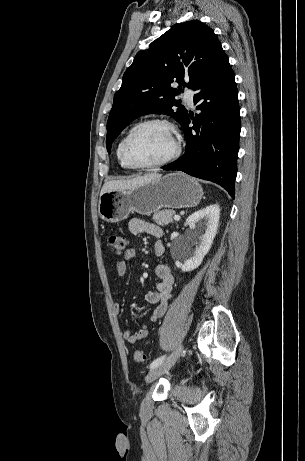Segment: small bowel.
Returning <instances> with one entry per match:
<instances>
[{
	"instance_id": "c3829d8e",
	"label": "small bowel",
	"mask_w": 305,
	"mask_h": 461,
	"mask_svg": "<svg viewBox=\"0 0 305 461\" xmlns=\"http://www.w3.org/2000/svg\"><path fill=\"white\" fill-rule=\"evenodd\" d=\"M130 231L135 234L147 233L156 238H160L163 235L162 229L153 223L144 221L142 219H132L129 224ZM153 251L156 256H162L164 253V246L161 241H156L153 245ZM137 257V251L134 248H128L124 253V259L116 262V270L119 278H122L127 272V260H133ZM156 275L159 279L155 289L149 291L146 295V299L150 304L155 305V309L151 315V322L157 321L161 318L168 310L171 299L174 296V276L172 275L170 268L165 264L157 265L155 269ZM113 309L119 314L121 306L117 301L119 297V291L116 289L113 291ZM149 334V328L147 325H143L136 332L125 330L123 332V339L129 344H135L138 341L144 339Z\"/></svg>"
}]
</instances>
